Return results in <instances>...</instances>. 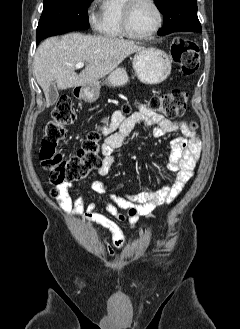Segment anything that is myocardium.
Here are the masks:
<instances>
[{
    "label": "myocardium",
    "mask_w": 240,
    "mask_h": 329,
    "mask_svg": "<svg viewBox=\"0 0 240 329\" xmlns=\"http://www.w3.org/2000/svg\"><path fill=\"white\" fill-rule=\"evenodd\" d=\"M139 1L140 0H126L125 1L123 10H122V19H121L122 31L128 38L139 39V40L150 39V38L154 37L161 29L163 22H164V14H163V11L161 10L160 6L158 5V3L155 0H146L153 6V8L155 9V11L157 13V18H158L157 24L153 28V30L147 34L134 33L130 28V19H131L132 10H133L135 4Z\"/></svg>",
    "instance_id": "myocardium-1"
}]
</instances>
